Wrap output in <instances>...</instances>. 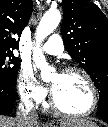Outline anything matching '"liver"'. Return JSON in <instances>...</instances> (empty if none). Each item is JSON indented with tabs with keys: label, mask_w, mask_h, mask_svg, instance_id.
<instances>
[{
	"label": "liver",
	"mask_w": 108,
	"mask_h": 127,
	"mask_svg": "<svg viewBox=\"0 0 108 127\" xmlns=\"http://www.w3.org/2000/svg\"><path fill=\"white\" fill-rule=\"evenodd\" d=\"M24 124L20 122V118L17 116L15 118L0 116V127H24ZM28 127H39L37 121L31 122ZM77 125V126H94L95 123L86 119H69L60 122L61 127Z\"/></svg>",
	"instance_id": "6515ba94"
}]
</instances>
